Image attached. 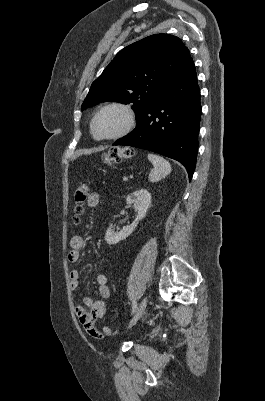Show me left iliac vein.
Segmentation results:
<instances>
[{
  "instance_id": "obj_1",
  "label": "left iliac vein",
  "mask_w": 265,
  "mask_h": 401,
  "mask_svg": "<svg viewBox=\"0 0 265 401\" xmlns=\"http://www.w3.org/2000/svg\"><path fill=\"white\" fill-rule=\"evenodd\" d=\"M147 304H148V297L145 296L142 299L141 303L139 304L137 310L135 311V314H134L133 318L129 322L128 328H131L133 325H135L137 323V321L142 317V315H143V313H144V311L146 309Z\"/></svg>"
}]
</instances>
